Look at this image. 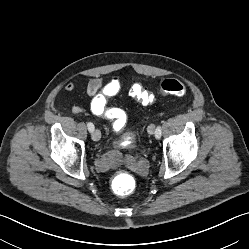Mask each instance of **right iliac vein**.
I'll list each match as a JSON object with an SVG mask.
<instances>
[{
  "label": "right iliac vein",
  "instance_id": "right-iliac-vein-1",
  "mask_svg": "<svg viewBox=\"0 0 249 249\" xmlns=\"http://www.w3.org/2000/svg\"><path fill=\"white\" fill-rule=\"evenodd\" d=\"M91 137L94 141H99L101 139V132L98 129L93 130Z\"/></svg>",
  "mask_w": 249,
  "mask_h": 249
}]
</instances>
